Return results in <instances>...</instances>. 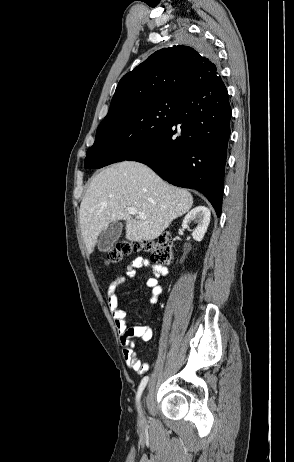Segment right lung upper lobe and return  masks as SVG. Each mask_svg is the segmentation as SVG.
Returning a JSON list of instances; mask_svg holds the SVG:
<instances>
[{
	"instance_id": "right-lung-upper-lobe-1",
	"label": "right lung upper lobe",
	"mask_w": 294,
	"mask_h": 462,
	"mask_svg": "<svg viewBox=\"0 0 294 462\" xmlns=\"http://www.w3.org/2000/svg\"><path fill=\"white\" fill-rule=\"evenodd\" d=\"M219 78L214 53L184 45L163 48L122 77L108 114L164 95L185 97Z\"/></svg>"
}]
</instances>
